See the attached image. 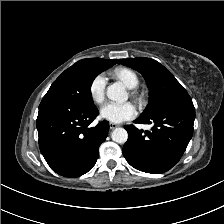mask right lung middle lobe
<instances>
[{
    "label": "right lung middle lobe",
    "instance_id": "obj_1",
    "mask_svg": "<svg viewBox=\"0 0 224 224\" xmlns=\"http://www.w3.org/2000/svg\"><path fill=\"white\" fill-rule=\"evenodd\" d=\"M110 66L82 59L66 69L51 85L45 97H54L77 107L94 108L91 85L97 75Z\"/></svg>",
    "mask_w": 224,
    "mask_h": 224
}]
</instances>
